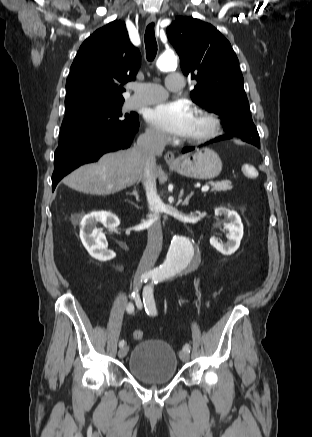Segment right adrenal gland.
I'll use <instances>...</instances> for the list:
<instances>
[{
    "label": "right adrenal gland",
    "mask_w": 312,
    "mask_h": 437,
    "mask_svg": "<svg viewBox=\"0 0 312 437\" xmlns=\"http://www.w3.org/2000/svg\"><path fill=\"white\" fill-rule=\"evenodd\" d=\"M139 182H140V179H139V181L137 182V184H138ZM127 194L133 195V196L136 198V201L139 202L140 197H139V194H138V192L136 191V189H134L133 192H131V193H127Z\"/></svg>",
    "instance_id": "1"
}]
</instances>
